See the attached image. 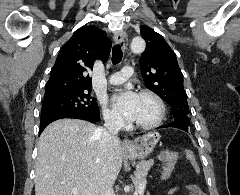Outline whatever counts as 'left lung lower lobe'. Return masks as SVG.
<instances>
[{"label": "left lung lower lobe", "mask_w": 240, "mask_h": 195, "mask_svg": "<svg viewBox=\"0 0 240 195\" xmlns=\"http://www.w3.org/2000/svg\"><path fill=\"white\" fill-rule=\"evenodd\" d=\"M165 127H174V128H178V129H182L186 132H188V128H185L183 126H180V125H175V124H168V125H164V126H160L159 128H165Z\"/></svg>", "instance_id": "0a47b994"}]
</instances>
